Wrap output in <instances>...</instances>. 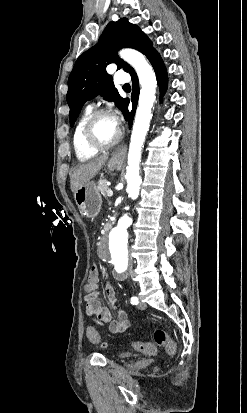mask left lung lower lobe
<instances>
[{"mask_svg": "<svg viewBox=\"0 0 247 413\" xmlns=\"http://www.w3.org/2000/svg\"><path fill=\"white\" fill-rule=\"evenodd\" d=\"M149 61L151 62L154 71L156 72V77H157V82L160 88V92H161V96L165 93L166 89H167V84H168V79H167V71L166 68L163 64V61L160 57V55L158 54V52H154L149 58ZM132 77V87H133V93H132V106L133 109L132 111L129 113L127 107L126 110L124 112V116L125 119L128 121L130 127L133 121V117H134V113H135V109H136V105H137V99H138V94H139V82H138V77L136 75V73H133L131 75ZM129 104V100L127 103V106Z\"/></svg>", "mask_w": 247, "mask_h": 413, "instance_id": "obj_1", "label": "left lung lower lobe"}]
</instances>
